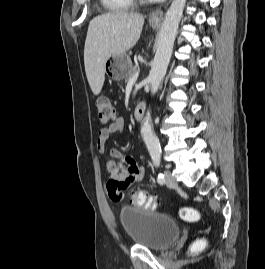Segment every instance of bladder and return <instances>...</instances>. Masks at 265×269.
I'll list each match as a JSON object with an SVG mask.
<instances>
[{
  "mask_svg": "<svg viewBox=\"0 0 265 269\" xmlns=\"http://www.w3.org/2000/svg\"><path fill=\"white\" fill-rule=\"evenodd\" d=\"M118 217L132 243L150 250L168 249L181 234L176 221L153 211L125 206L118 211Z\"/></svg>",
  "mask_w": 265,
  "mask_h": 269,
  "instance_id": "obj_1",
  "label": "bladder"
}]
</instances>
